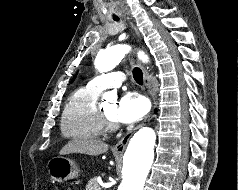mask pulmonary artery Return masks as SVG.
<instances>
[{"mask_svg": "<svg viewBox=\"0 0 238 190\" xmlns=\"http://www.w3.org/2000/svg\"><path fill=\"white\" fill-rule=\"evenodd\" d=\"M124 81V74L122 72H109L97 76L89 81L87 86L95 91L102 92L108 88H119Z\"/></svg>", "mask_w": 238, "mask_h": 190, "instance_id": "e3ab8cb5", "label": "pulmonary artery"}]
</instances>
